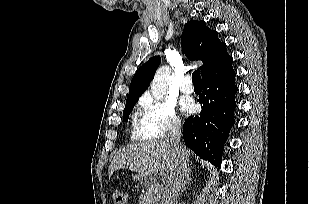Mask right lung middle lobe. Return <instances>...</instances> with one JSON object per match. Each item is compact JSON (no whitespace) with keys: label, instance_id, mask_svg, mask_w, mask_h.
I'll return each instance as SVG.
<instances>
[{"label":"right lung middle lobe","instance_id":"obj_1","mask_svg":"<svg viewBox=\"0 0 309 204\" xmlns=\"http://www.w3.org/2000/svg\"><path fill=\"white\" fill-rule=\"evenodd\" d=\"M138 99H130L126 101V105L123 111V120L128 121L129 114L131 113L133 107L135 106Z\"/></svg>","mask_w":309,"mask_h":204}]
</instances>
